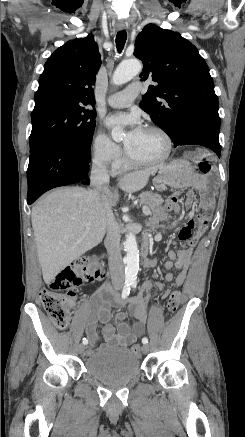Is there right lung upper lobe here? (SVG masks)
<instances>
[{"label": "right lung upper lobe", "instance_id": "cb5924a9", "mask_svg": "<svg viewBox=\"0 0 245 437\" xmlns=\"http://www.w3.org/2000/svg\"><path fill=\"white\" fill-rule=\"evenodd\" d=\"M100 65L101 57L92 35L59 47L45 63L35 106L51 102L94 106L93 85Z\"/></svg>", "mask_w": 245, "mask_h": 437}]
</instances>
